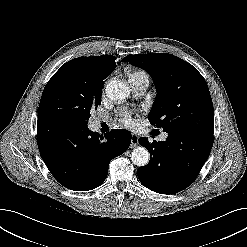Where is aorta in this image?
I'll return each instance as SVG.
<instances>
[{
	"instance_id": "obj_1",
	"label": "aorta",
	"mask_w": 247,
	"mask_h": 247,
	"mask_svg": "<svg viewBox=\"0 0 247 247\" xmlns=\"http://www.w3.org/2000/svg\"><path fill=\"white\" fill-rule=\"evenodd\" d=\"M106 96L113 101H123L128 98L130 89L127 84L121 80H111L106 85ZM150 154L144 147H137L131 153V160L136 166H145L148 164Z\"/></svg>"
}]
</instances>
